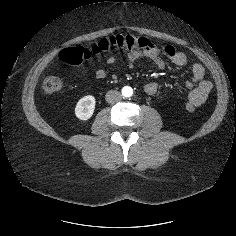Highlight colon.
Wrapping results in <instances>:
<instances>
[{"mask_svg": "<svg viewBox=\"0 0 236 236\" xmlns=\"http://www.w3.org/2000/svg\"><path fill=\"white\" fill-rule=\"evenodd\" d=\"M146 38L133 35H112L101 39L91 47L81 45L67 47L59 54V59L69 65H80L88 61L94 55L110 52L111 50L142 51L149 47ZM43 88L48 93H54L61 89V80L53 73H49L43 80ZM187 109L193 111L195 107L188 103Z\"/></svg>", "mask_w": 236, "mask_h": 236, "instance_id": "5ec220e1", "label": "colon"}]
</instances>
